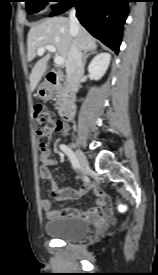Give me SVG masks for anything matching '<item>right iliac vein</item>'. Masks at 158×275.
I'll return each instance as SVG.
<instances>
[{
	"label": "right iliac vein",
	"instance_id": "right-iliac-vein-1",
	"mask_svg": "<svg viewBox=\"0 0 158 275\" xmlns=\"http://www.w3.org/2000/svg\"><path fill=\"white\" fill-rule=\"evenodd\" d=\"M75 153H76V157L78 159V162H79V165H80L81 169L83 170V172L85 174H87L89 172V170H90V167H89V163H88L86 157L78 149H76Z\"/></svg>",
	"mask_w": 158,
	"mask_h": 275
}]
</instances>
